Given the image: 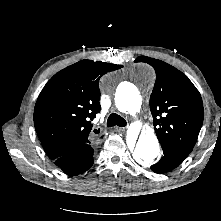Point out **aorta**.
<instances>
[{
  "label": "aorta",
  "instance_id": "1",
  "mask_svg": "<svg viewBox=\"0 0 221 221\" xmlns=\"http://www.w3.org/2000/svg\"><path fill=\"white\" fill-rule=\"evenodd\" d=\"M135 71L143 79L154 80V70L148 64H138ZM141 104L142 98L134 85L128 84L122 90L117 89L115 105L120 112L134 114L140 110ZM159 153V142L154 130L149 128L141 132L133 151V158L139 164L149 166L158 157Z\"/></svg>",
  "mask_w": 221,
  "mask_h": 221
}]
</instances>
